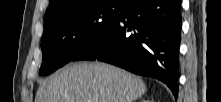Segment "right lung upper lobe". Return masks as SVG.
Masks as SVG:
<instances>
[{
	"instance_id": "1",
	"label": "right lung upper lobe",
	"mask_w": 221,
	"mask_h": 102,
	"mask_svg": "<svg viewBox=\"0 0 221 102\" xmlns=\"http://www.w3.org/2000/svg\"><path fill=\"white\" fill-rule=\"evenodd\" d=\"M81 0H50L46 10L44 21L52 18L54 15L67 8L71 3Z\"/></svg>"
}]
</instances>
